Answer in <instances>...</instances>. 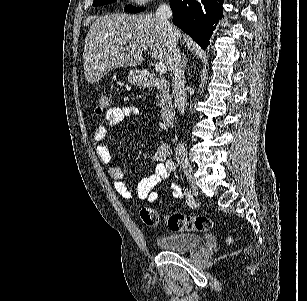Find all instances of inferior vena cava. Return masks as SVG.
<instances>
[{"label":"inferior vena cava","mask_w":307,"mask_h":301,"mask_svg":"<svg viewBox=\"0 0 307 301\" xmlns=\"http://www.w3.org/2000/svg\"><path fill=\"white\" fill-rule=\"evenodd\" d=\"M155 14L156 16H159L161 20H163V24L164 26H166L168 34H170L172 38L173 50L170 56V60H172L171 66L173 70V94L175 104L180 114H184L185 108L187 106V96L185 92L184 68L182 64L180 48H178L177 44L179 32L176 26H173V24L169 22V18H171L173 14L170 4H166V2H163V4H159L158 8H156ZM175 155L176 157H186L187 155L185 142H182V140H179V142H177L175 146Z\"/></svg>","instance_id":"1"}]
</instances>
